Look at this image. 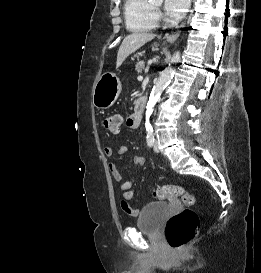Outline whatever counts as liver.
<instances>
[{
    "label": "liver",
    "instance_id": "6515ba94",
    "mask_svg": "<svg viewBox=\"0 0 261 273\" xmlns=\"http://www.w3.org/2000/svg\"><path fill=\"white\" fill-rule=\"evenodd\" d=\"M154 38L155 34L144 32H136L126 36L118 50L116 67H119L130 54Z\"/></svg>",
    "mask_w": 261,
    "mask_h": 273
}]
</instances>
